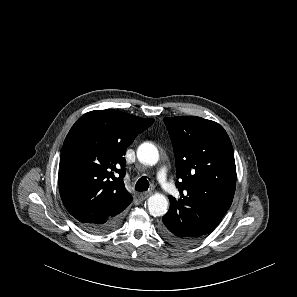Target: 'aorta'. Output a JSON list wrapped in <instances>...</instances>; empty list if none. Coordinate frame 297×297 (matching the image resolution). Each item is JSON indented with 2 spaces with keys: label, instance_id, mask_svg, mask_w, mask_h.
<instances>
[{
  "label": "aorta",
  "instance_id": "762f6f07",
  "mask_svg": "<svg viewBox=\"0 0 297 297\" xmlns=\"http://www.w3.org/2000/svg\"><path fill=\"white\" fill-rule=\"evenodd\" d=\"M137 157L141 163L153 166L159 160V152L153 144L146 142L138 147ZM147 205L152 216H163L168 209V200L164 195L157 193L149 197Z\"/></svg>",
  "mask_w": 297,
  "mask_h": 297
}]
</instances>
